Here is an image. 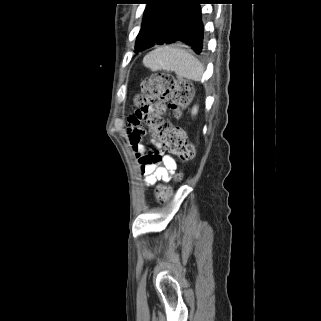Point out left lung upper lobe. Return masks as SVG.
<instances>
[{
  "label": "left lung upper lobe",
  "instance_id": "obj_1",
  "mask_svg": "<svg viewBox=\"0 0 321 321\" xmlns=\"http://www.w3.org/2000/svg\"><path fill=\"white\" fill-rule=\"evenodd\" d=\"M179 0H144L147 4L135 50L143 51L156 45L165 32L167 22Z\"/></svg>",
  "mask_w": 321,
  "mask_h": 321
}]
</instances>
